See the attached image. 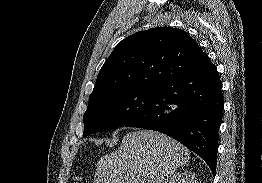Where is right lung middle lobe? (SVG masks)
<instances>
[{"instance_id":"1","label":"right lung middle lobe","mask_w":262,"mask_h":183,"mask_svg":"<svg viewBox=\"0 0 262 183\" xmlns=\"http://www.w3.org/2000/svg\"><path fill=\"white\" fill-rule=\"evenodd\" d=\"M156 93L157 89L131 88L89 99L83 137L125 126L150 105Z\"/></svg>"}]
</instances>
